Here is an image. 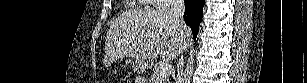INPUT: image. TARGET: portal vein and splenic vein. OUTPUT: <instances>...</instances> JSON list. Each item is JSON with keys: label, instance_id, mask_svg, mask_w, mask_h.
Masks as SVG:
<instances>
[{"label": "portal vein and splenic vein", "instance_id": "obj_1", "mask_svg": "<svg viewBox=\"0 0 307 83\" xmlns=\"http://www.w3.org/2000/svg\"><path fill=\"white\" fill-rule=\"evenodd\" d=\"M172 66L169 63H164L160 66L159 79L166 77L171 73Z\"/></svg>", "mask_w": 307, "mask_h": 83}]
</instances>
